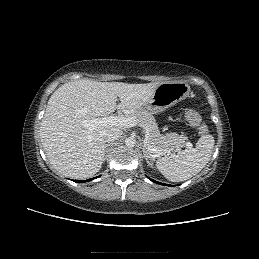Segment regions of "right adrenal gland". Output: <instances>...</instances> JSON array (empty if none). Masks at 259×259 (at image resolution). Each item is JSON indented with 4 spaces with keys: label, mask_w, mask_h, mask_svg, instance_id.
<instances>
[{
    "label": "right adrenal gland",
    "mask_w": 259,
    "mask_h": 259,
    "mask_svg": "<svg viewBox=\"0 0 259 259\" xmlns=\"http://www.w3.org/2000/svg\"><path fill=\"white\" fill-rule=\"evenodd\" d=\"M111 145V143L106 144V149H105V156H104V160L107 157V153H108V147Z\"/></svg>",
    "instance_id": "2a0ac1e0"
}]
</instances>
